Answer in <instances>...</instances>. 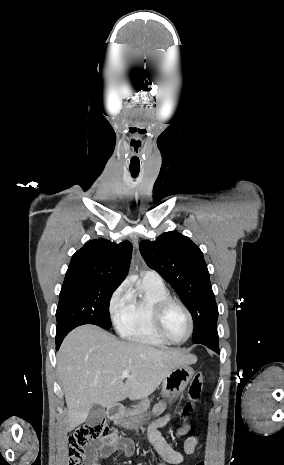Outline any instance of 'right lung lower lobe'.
I'll list each match as a JSON object with an SVG mask.
<instances>
[{"label":"right lung lower lobe","mask_w":284,"mask_h":465,"mask_svg":"<svg viewBox=\"0 0 284 465\" xmlns=\"http://www.w3.org/2000/svg\"><path fill=\"white\" fill-rule=\"evenodd\" d=\"M77 326H80L79 324H74V325H70L66 328H63L59 331H56V350L59 349L63 339L65 338V336L71 331L73 330L74 328H76Z\"/></svg>","instance_id":"98d812e1"}]
</instances>
